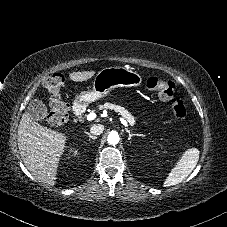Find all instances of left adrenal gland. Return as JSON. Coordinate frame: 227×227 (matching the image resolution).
<instances>
[{
  "label": "left adrenal gland",
  "instance_id": "left-adrenal-gland-1",
  "mask_svg": "<svg viewBox=\"0 0 227 227\" xmlns=\"http://www.w3.org/2000/svg\"><path fill=\"white\" fill-rule=\"evenodd\" d=\"M125 131L129 134L128 140L130 141L133 136H140L139 134L131 133L129 129L125 128Z\"/></svg>",
  "mask_w": 227,
  "mask_h": 227
}]
</instances>
